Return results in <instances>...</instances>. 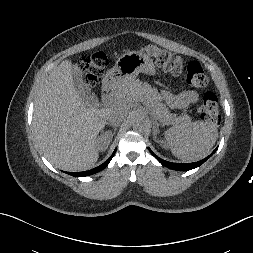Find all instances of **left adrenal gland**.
Here are the masks:
<instances>
[{"mask_svg":"<svg viewBox=\"0 0 253 253\" xmlns=\"http://www.w3.org/2000/svg\"><path fill=\"white\" fill-rule=\"evenodd\" d=\"M158 127H159V123L157 121H155V126L153 129V135H154V140L156 141V135L158 133Z\"/></svg>","mask_w":253,"mask_h":253,"instance_id":"a2214340","label":"left adrenal gland"}]
</instances>
